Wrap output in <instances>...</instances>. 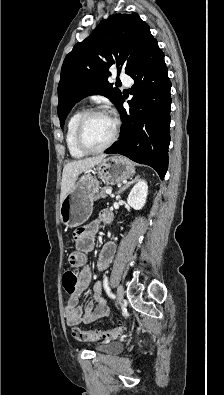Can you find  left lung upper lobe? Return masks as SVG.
<instances>
[{
	"mask_svg": "<svg viewBox=\"0 0 224 395\" xmlns=\"http://www.w3.org/2000/svg\"><path fill=\"white\" fill-rule=\"evenodd\" d=\"M156 41L138 14H114L101 21L66 56L58 85V116L61 127L72 107L88 95H104L117 107L122 98L108 82L109 67L131 70L151 43Z\"/></svg>",
	"mask_w": 224,
	"mask_h": 395,
	"instance_id": "left-lung-upper-lobe-1",
	"label": "left lung upper lobe"
}]
</instances>
